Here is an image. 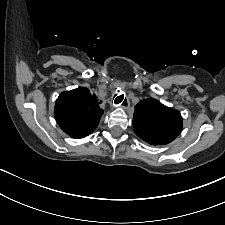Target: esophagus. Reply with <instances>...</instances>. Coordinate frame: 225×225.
<instances>
[{
	"mask_svg": "<svg viewBox=\"0 0 225 225\" xmlns=\"http://www.w3.org/2000/svg\"><path fill=\"white\" fill-rule=\"evenodd\" d=\"M118 96H120V95H118ZM115 99H116V97L114 98V100H113V106H115V107H119V106H121L123 109H128L129 108V102H128V100H123L121 103H119V104H116L115 103ZM125 101V102H124ZM124 102V103H123Z\"/></svg>",
	"mask_w": 225,
	"mask_h": 225,
	"instance_id": "obj_1",
	"label": "esophagus"
}]
</instances>
